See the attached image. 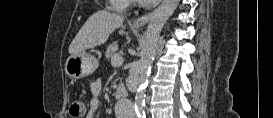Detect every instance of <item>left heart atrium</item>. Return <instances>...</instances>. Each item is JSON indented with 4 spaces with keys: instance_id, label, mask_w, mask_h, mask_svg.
<instances>
[{
    "instance_id": "39dd6f15",
    "label": "left heart atrium",
    "mask_w": 273,
    "mask_h": 118,
    "mask_svg": "<svg viewBox=\"0 0 273 118\" xmlns=\"http://www.w3.org/2000/svg\"><path fill=\"white\" fill-rule=\"evenodd\" d=\"M158 0H140L141 3L144 4H154L156 3Z\"/></svg>"
}]
</instances>
